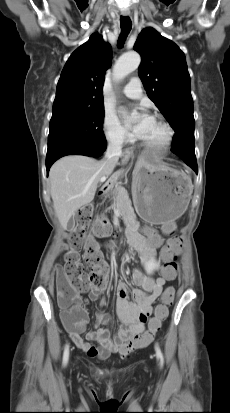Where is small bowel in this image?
<instances>
[{
  "label": "small bowel",
  "instance_id": "c3829d8e",
  "mask_svg": "<svg viewBox=\"0 0 230 413\" xmlns=\"http://www.w3.org/2000/svg\"><path fill=\"white\" fill-rule=\"evenodd\" d=\"M177 228V222H162V231L166 233L177 231ZM98 234L104 235L105 232L102 231ZM146 234L147 237H144L134 229H130L128 240L141 253L144 263L150 264L154 258V249L160 244L161 239L151 229H147ZM164 251L165 249H163ZM107 279L108 272L102 287H93L89 290L88 297L91 301L98 299L99 293L106 287ZM132 281L137 288L129 289L125 282H120L117 285V315L122 325L113 337H111L109 329L102 326L109 325L112 322L111 317L97 313L94 329L87 332L85 339H83L82 333L85 331L88 318L78 295H76V304L81 310V316L76 318L73 311L61 313L62 321L71 340L89 356L100 359H105L113 353L125 356V346L130 341L139 339L145 333L146 324L153 310V302L167 291L174 293L173 287L165 286L166 281H168L166 277L154 278L140 270H135L132 274ZM94 341L97 345L92 343Z\"/></svg>",
  "mask_w": 230,
  "mask_h": 413
}]
</instances>
